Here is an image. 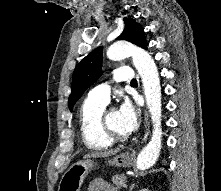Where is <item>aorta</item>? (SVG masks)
I'll return each mask as SVG.
<instances>
[{"label":"aorta","instance_id":"762f6f07","mask_svg":"<svg viewBox=\"0 0 221 191\" xmlns=\"http://www.w3.org/2000/svg\"><path fill=\"white\" fill-rule=\"evenodd\" d=\"M132 57L133 64L141 76L146 103L153 123L152 137L142 149L137 158V168L146 170L157 160L161 150V86L157 66L151 55L137 46L128 42L113 43L107 50L110 60H122Z\"/></svg>","mask_w":221,"mask_h":191}]
</instances>
